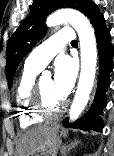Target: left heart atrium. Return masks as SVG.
<instances>
[{"instance_id": "left-heart-atrium-1", "label": "left heart atrium", "mask_w": 114, "mask_h": 156, "mask_svg": "<svg viewBox=\"0 0 114 156\" xmlns=\"http://www.w3.org/2000/svg\"><path fill=\"white\" fill-rule=\"evenodd\" d=\"M77 76V64L69 56H61L55 62L53 90L56 96L64 100L72 91Z\"/></svg>"}]
</instances>
